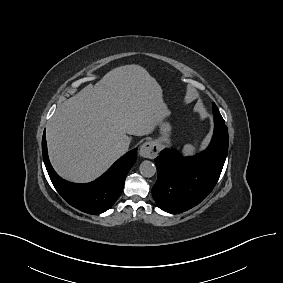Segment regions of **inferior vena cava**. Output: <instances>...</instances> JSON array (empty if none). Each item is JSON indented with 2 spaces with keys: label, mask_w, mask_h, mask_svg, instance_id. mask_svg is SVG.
Returning <instances> with one entry per match:
<instances>
[{
  "label": "inferior vena cava",
  "mask_w": 283,
  "mask_h": 283,
  "mask_svg": "<svg viewBox=\"0 0 283 283\" xmlns=\"http://www.w3.org/2000/svg\"><path fill=\"white\" fill-rule=\"evenodd\" d=\"M130 142H131L130 137L125 136V137L120 141V146L123 147L124 149H128Z\"/></svg>",
  "instance_id": "inferior-vena-cava-1"
}]
</instances>
